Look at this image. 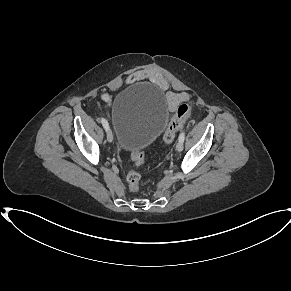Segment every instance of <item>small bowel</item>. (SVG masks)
<instances>
[{
    "mask_svg": "<svg viewBox=\"0 0 291 291\" xmlns=\"http://www.w3.org/2000/svg\"><path fill=\"white\" fill-rule=\"evenodd\" d=\"M148 80L155 84L159 89L165 91L168 89L167 79L155 69H141L131 73L125 79V84H132L135 82ZM189 98L185 92H172L169 91L166 94L167 106L170 112L174 111L181 103L187 101ZM102 100L106 105H109L111 98L108 94L102 95Z\"/></svg>",
    "mask_w": 291,
    "mask_h": 291,
    "instance_id": "obj_1",
    "label": "small bowel"
}]
</instances>
